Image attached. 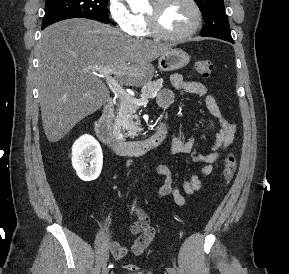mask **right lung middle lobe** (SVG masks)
<instances>
[{
    "mask_svg": "<svg viewBox=\"0 0 289 274\" xmlns=\"http://www.w3.org/2000/svg\"><path fill=\"white\" fill-rule=\"evenodd\" d=\"M108 0H46L42 28L70 18H87L109 23Z\"/></svg>",
    "mask_w": 289,
    "mask_h": 274,
    "instance_id": "right-lung-middle-lobe-1",
    "label": "right lung middle lobe"
}]
</instances>
